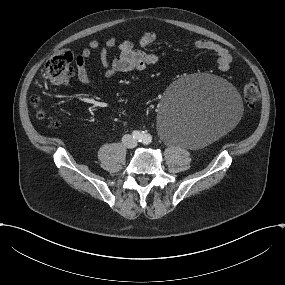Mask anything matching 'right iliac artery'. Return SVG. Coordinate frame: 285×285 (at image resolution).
I'll return each instance as SVG.
<instances>
[{
  "label": "right iliac artery",
  "mask_w": 285,
  "mask_h": 285,
  "mask_svg": "<svg viewBox=\"0 0 285 285\" xmlns=\"http://www.w3.org/2000/svg\"><path fill=\"white\" fill-rule=\"evenodd\" d=\"M132 137H133L135 140L141 142V141L143 140V133L140 132V131H133V132H132Z\"/></svg>",
  "instance_id": "right-iliac-artery-1"
}]
</instances>
